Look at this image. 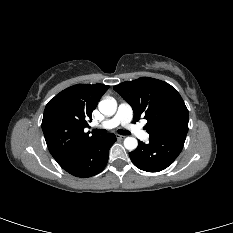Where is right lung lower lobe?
Returning a JSON list of instances; mask_svg holds the SVG:
<instances>
[{
    "label": "right lung lower lobe",
    "instance_id": "obj_1",
    "mask_svg": "<svg viewBox=\"0 0 233 233\" xmlns=\"http://www.w3.org/2000/svg\"><path fill=\"white\" fill-rule=\"evenodd\" d=\"M115 141L116 136L112 133L99 136L62 168L76 177H91L100 173L107 164L109 149Z\"/></svg>",
    "mask_w": 233,
    "mask_h": 233
}]
</instances>
